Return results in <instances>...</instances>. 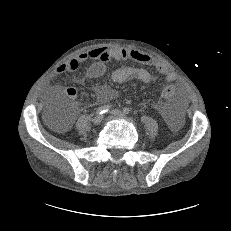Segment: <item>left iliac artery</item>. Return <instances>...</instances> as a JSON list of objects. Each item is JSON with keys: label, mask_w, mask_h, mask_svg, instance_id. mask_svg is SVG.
Returning <instances> with one entry per match:
<instances>
[{"label": "left iliac artery", "mask_w": 231, "mask_h": 231, "mask_svg": "<svg viewBox=\"0 0 231 231\" xmlns=\"http://www.w3.org/2000/svg\"><path fill=\"white\" fill-rule=\"evenodd\" d=\"M129 112H130V109H129L128 107H125V108L123 109V113H124V114H129Z\"/></svg>", "instance_id": "obj_1"}]
</instances>
